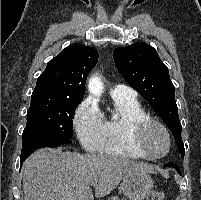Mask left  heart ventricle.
Here are the masks:
<instances>
[{
    "instance_id": "b2bd125f",
    "label": "left heart ventricle",
    "mask_w": 201,
    "mask_h": 200,
    "mask_svg": "<svg viewBox=\"0 0 201 200\" xmlns=\"http://www.w3.org/2000/svg\"><path fill=\"white\" fill-rule=\"evenodd\" d=\"M143 140L148 153L152 156H159L167 149L166 136L163 131L156 126H150L146 129Z\"/></svg>"
}]
</instances>
